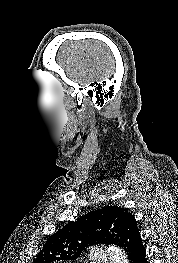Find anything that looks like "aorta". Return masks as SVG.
I'll return each mask as SVG.
<instances>
[{"label":"aorta","mask_w":178,"mask_h":263,"mask_svg":"<svg viewBox=\"0 0 178 263\" xmlns=\"http://www.w3.org/2000/svg\"><path fill=\"white\" fill-rule=\"evenodd\" d=\"M108 254L111 263H129L124 251L115 245H111L108 247Z\"/></svg>","instance_id":"aorta-1"}]
</instances>
